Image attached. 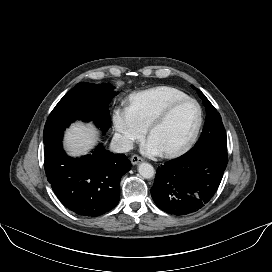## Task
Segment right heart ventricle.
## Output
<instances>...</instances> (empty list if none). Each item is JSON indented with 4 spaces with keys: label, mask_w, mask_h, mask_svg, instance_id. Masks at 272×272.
I'll list each match as a JSON object with an SVG mask.
<instances>
[{
    "label": "right heart ventricle",
    "mask_w": 272,
    "mask_h": 272,
    "mask_svg": "<svg viewBox=\"0 0 272 272\" xmlns=\"http://www.w3.org/2000/svg\"><path fill=\"white\" fill-rule=\"evenodd\" d=\"M187 97V95L173 87L158 86L131 95L129 108L146 128L152 119L169 103Z\"/></svg>",
    "instance_id": "1"
}]
</instances>
